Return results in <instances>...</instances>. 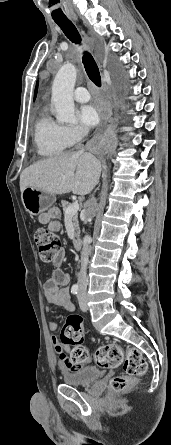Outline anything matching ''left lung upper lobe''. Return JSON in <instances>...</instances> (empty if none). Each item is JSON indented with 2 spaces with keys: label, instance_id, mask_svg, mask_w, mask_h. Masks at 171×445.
<instances>
[{
  "label": "left lung upper lobe",
  "instance_id": "left-lung-upper-lobe-1",
  "mask_svg": "<svg viewBox=\"0 0 171 445\" xmlns=\"http://www.w3.org/2000/svg\"><path fill=\"white\" fill-rule=\"evenodd\" d=\"M37 87H38V85H36L34 98L36 97V94H37Z\"/></svg>",
  "mask_w": 171,
  "mask_h": 445
}]
</instances>
